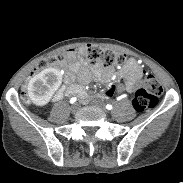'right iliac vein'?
<instances>
[{
	"instance_id": "obj_1",
	"label": "right iliac vein",
	"mask_w": 183,
	"mask_h": 183,
	"mask_svg": "<svg viewBox=\"0 0 183 183\" xmlns=\"http://www.w3.org/2000/svg\"><path fill=\"white\" fill-rule=\"evenodd\" d=\"M78 109H79V105H78V104H73V105L71 106V111H72V112H76Z\"/></svg>"
}]
</instances>
